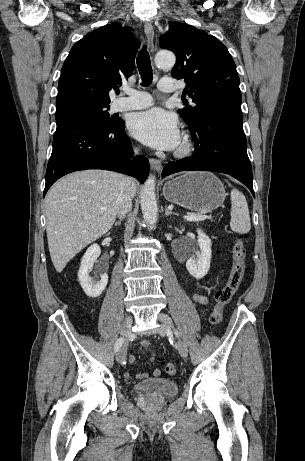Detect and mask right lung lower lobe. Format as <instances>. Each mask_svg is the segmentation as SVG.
Instances as JSON below:
<instances>
[{
  "label": "right lung lower lobe",
  "instance_id": "obj_1",
  "mask_svg": "<svg viewBox=\"0 0 305 461\" xmlns=\"http://www.w3.org/2000/svg\"><path fill=\"white\" fill-rule=\"evenodd\" d=\"M53 150L46 171L44 196L60 177L84 169H105L125 173L143 183L149 162L143 156L130 161L131 142L124 121L102 126L76 117L56 120Z\"/></svg>",
  "mask_w": 305,
  "mask_h": 461
}]
</instances>
